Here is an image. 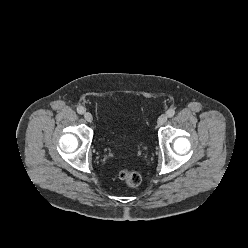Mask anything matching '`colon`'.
Masks as SVG:
<instances>
[{"instance_id":"1","label":"colon","mask_w":248,"mask_h":248,"mask_svg":"<svg viewBox=\"0 0 248 248\" xmlns=\"http://www.w3.org/2000/svg\"><path fill=\"white\" fill-rule=\"evenodd\" d=\"M118 176L121 181L131 187L140 185L142 181L141 175L136 171L121 170Z\"/></svg>"}]
</instances>
